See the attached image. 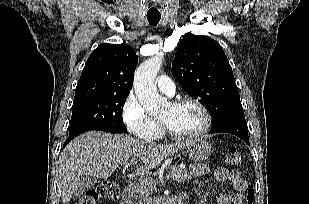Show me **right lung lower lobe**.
Returning a JSON list of instances; mask_svg holds the SVG:
<instances>
[{"label": "right lung lower lobe", "mask_w": 309, "mask_h": 204, "mask_svg": "<svg viewBox=\"0 0 309 204\" xmlns=\"http://www.w3.org/2000/svg\"><path fill=\"white\" fill-rule=\"evenodd\" d=\"M86 132V131H84ZM84 132H80V133H76V134H73V135H69V137L66 139L63 147H65L73 138H75L76 136L80 135L81 133H84Z\"/></svg>", "instance_id": "98d812e1"}]
</instances>
